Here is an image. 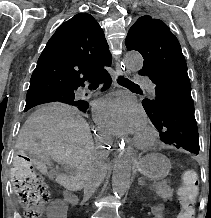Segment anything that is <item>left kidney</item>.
Masks as SVG:
<instances>
[{"label": "left kidney", "mask_w": 211, "mask_h": 218, "mask_svg": "<svg viewBox=\"0 0 211 218\" xmlns=\"http://www.w3.org/2000/svg\"><path fill=\"white\" fill-rule=\"evenodd\" d=\"M163 207L164 202H157V207H152V210H150L151 218H163L165 214Z\"/></svg>", "instance_id": "obj_1"}]
</instances>
